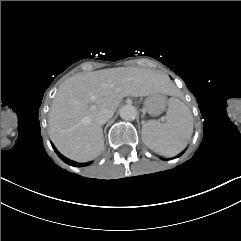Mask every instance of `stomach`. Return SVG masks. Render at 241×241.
Instances as JSON below:
<instances>
[{
  "label": "stomach",
  "mask_w": 241,
  "mask_h": 241,
  "mask_svg": "<svg viewBox=\"0 0 241 241\" xmlns=\"http://www.w3.org/2000/svg\"><path fill=\"white\" fill-rule=\"evenodd\" d=\"M144 105L151 116H158L166 108V98L159 93L151 94L145 99Z\"/></svg>",
  "instance_id": "stomach-1"
}]
</instances>
